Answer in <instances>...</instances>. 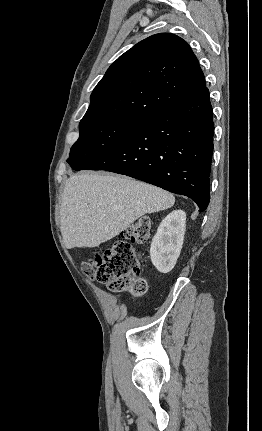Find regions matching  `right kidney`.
<instances>
[{"label":"right kidney","instance_id":"ca27d5eb","mask_svg":"<svg viewBox=\"0 0 262 431\" xmlns=\"http://www.w3.org/2000/svg\"><path fill=\"white\" fill-rule=\"evenodd\" d=\"M185 222L184 211L171 212L162 220L152 239L151 261L161 273L170 272L177 262L183 245Z\"/></svg>","mask_w":262,"mask_h":431}]
</instances>
